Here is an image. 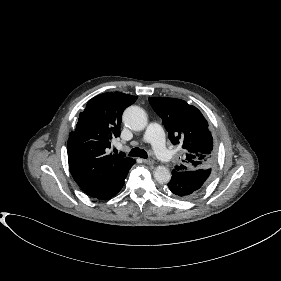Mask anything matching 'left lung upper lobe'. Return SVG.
Instances as JSON below:
<instances>
[{
	"instance_id": "left-lung-upper-lobe-1",
	"label": "left lung upper lobe",
	"mask_w": 281,
	"mask_h": 281,
	"mask_svg": "<svg viewBox=\"0 0 281 281\" xmlns=\"http://www.w3.org/2000/svg\"><path fill=\"white\" fill-rule=\"evenodd\" d=\"M149 102L162 119L172 144L182 147V163L173 171H212L216 161L215 148L208 123L201 112L175 98L150 97Z\"/></svg>"
}]
</instances>
